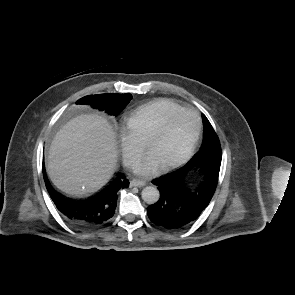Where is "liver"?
Listing matches in <instances>:
<instances>
[{"label": "liver", "mask_w": 295, "mask_h": 295, "mask_svg": "<svg viewBox=\"0 0 295 295\" xmlns=\"http://www.w3.org/2000/svg\"><path fill=\"white\" fill-rule=\"evenodd\" d=\"M115 133L99 115H80L55 135L47 171L53 184L73 197L88 196L104 186L117 164Z\"/></svg>", "instance_id": "1"}]
</instances>
